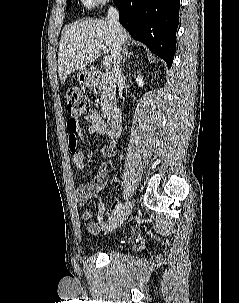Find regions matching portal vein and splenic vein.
Here are the masks:
<instances>
[{"instance_id":"18ae733b","label":"portal vein and splenic vein","mask_w":239,"mask_h":303,"mask_svg":"<svg viewBox=\"0 0 239 303\" xmlns=\"http://www.w3.org/2000/svg\"><path fill=\"white\" fill-rule=\"evenodd\" d=\"M96 48H100L104 51V53H107L106 47L104 45H97ZM103 65H105L106 67H109L111 65V59L109 56L103 57Z\"/></svg>"}]
</instances>
